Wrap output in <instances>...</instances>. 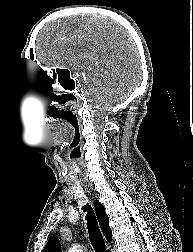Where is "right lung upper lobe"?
I'll use <instances>...</instances> for the list:
<instances>
[{
	"label": "right lung upper lobe",
	"instance_id": "1",
	"mask_svg": "<svg viewBox=\"0 0 193 252\" xmlns=\"http://www.w3.org/2000/svg\"><path fill=\"white\" fill-rule=\"evenodd\" d=\"M94 207L96 211V215L99 221V225L102 229L103 234L105 235L108 242L112 240V231L109 227V218L105 213V209L98 200L94 201ZM60 242L56 237H52L44 247L43 252H59Z\"/></svg>",
	"mask_w": 193,
	"mask_h": 252
}]
</instances>
